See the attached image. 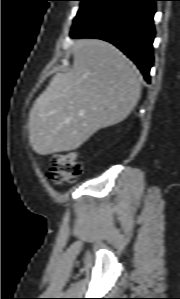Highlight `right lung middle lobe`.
Segmentation results:
<instances>
[{"label": "right lung middle lobe", "mask_w": 180, "mask_h": 299, "mask_svg": "<svg viewBox=\"0 0 180 299\" xmlns=\"http://www.w3.org/2000/svg\"><path fill=\"white\" fill-rule=\"evenodd\" d=\"M81 1V5L79 11L73 21V25L79 22L81 19L89 15L93 12L100 4H102L105 0H79Z\"/></svg>", "instance_id": "obj_1"}]
</instances>
